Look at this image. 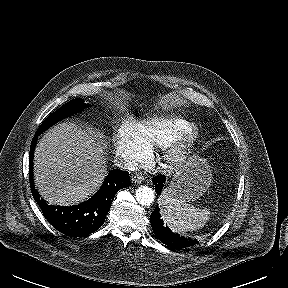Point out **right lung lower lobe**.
<instances>
[{"label":"right lung lower lobe","mask_w":288,"mask_h":288,"mask_svg":"<svg viewBox=\"0 0 288 288\" xmlns=\"http://www.w3.org/2000/svg\"><path fill=\"white\" fill-rule=\"evenodd\" d=\"M36 132L29 154V178L32 195L44 217L59 232L70 237H82L95 232L105 222L115 194L130 186L127 171L114 169L109 172L100 189L87 201L70 207L48 205L41 199L33 182V155L38 139Z\"/></svg>","instance_id":"98d812e1"}]
</instances>
